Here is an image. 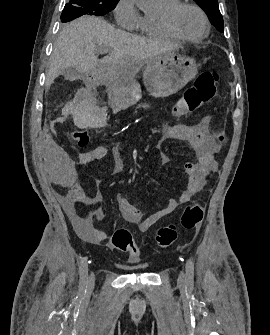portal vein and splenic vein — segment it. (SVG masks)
<instances>
[{"instance_id": "portal-vein-and-splenic-vein-1", "label": "portal vein and splenic vein", "mask_w": 270, "mask_h": 335, "mask_svg": "<svg viewBox=\"0 0 270 335\" xmlns=\"http://www.w3.org/2000/svg\"><path fill=\"white\" fill-rule=\"evenodd\" d=\"M107 50L105 48L101 49V52H99V54H106ZM103 64H110V62H108V60H102Z\"/></svg>"}]
</instances>
